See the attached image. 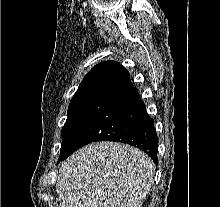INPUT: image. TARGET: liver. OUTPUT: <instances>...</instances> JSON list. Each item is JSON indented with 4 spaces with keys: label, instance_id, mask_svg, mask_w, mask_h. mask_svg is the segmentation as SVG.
<instances>
[{
    "label": "liver",
    "instance_id": "liver-1",
    "mask_svg": "<svg viewBox=\"0 0 220 207\" xmlns=\"http://www.w3.org/2000/svg\"><path fill=\"white\" fill-rule=\"evenodd\" d=\"M155 165L138 148L95 142L73 153L56 182L59 207H142Z\"/></svg>",
    "mask_w": 220,
    "mask_h": 207
}]
</instances>
